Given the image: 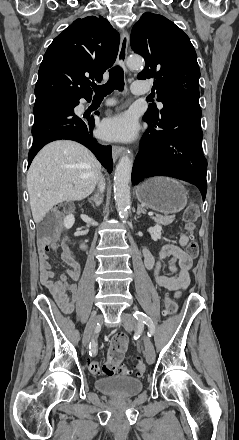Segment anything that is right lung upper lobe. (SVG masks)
<instances>
[{
    "instance_id": "1",
    "label": "right lung upper lobe",
    "mask_w": 239,
    "mask_h": 440,
    "mask_svg": "<svg viewBox=\"0 0 239 440\" xmlns=\"http://www.w3.org/2000/svg\"><path fill=\"white\" fill-rule=\"evenodd\" d=\"M120 35L102 16L75 20L48 47L38 72L36 98L91 96L90 79L101 80L114 63Z\"/></svg>"
}]
</instances>
